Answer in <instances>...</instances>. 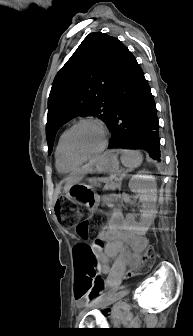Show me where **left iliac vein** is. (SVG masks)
I'll list each match as a JSON object with an SVG mask.
<instances>
[{
	"label": "left iliac vein",
	"instance_id": "obj_1",
	"mask_svg": "<svg viewBox=\"0 0 193 336\" xmlns=\"http://www.w3.org/2000/svg\"><path fill=\"white\" fill-rule=\"evenodd\" d=\"M114 293L115 292L111 293L110 296L104 302L101 303V305L108 306V305L114 303L115 301L122 299L123 297H125L129 293V289H127V288L123 289V290L119 291L118 293H116L115 295H114ZM94 304H92V305H94ZM88 309H89V307H86L85 309H83L79 313L78 319H81Z\"/></svg>",
	"mask_w": 193,
	"mask_h": 336
}]
</instances>
